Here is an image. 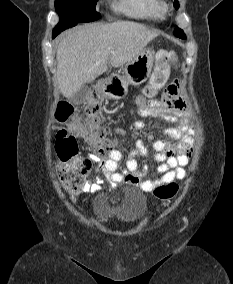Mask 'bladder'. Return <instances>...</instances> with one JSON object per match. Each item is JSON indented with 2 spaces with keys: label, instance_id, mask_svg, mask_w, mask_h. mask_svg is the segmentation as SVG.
I'll return each instance as SVG.
<instances>
[{
  "label": "bladder",
  "instance_id": "1",
  "mask_svg": "<svg viewBox=\"0 0 233 284\" xmlns=\"http://www.w3.org/2000/svg\"><path fill=\"white\" fill-rule=\"evenodd\" d=\"M91 212L101 223L110 220L133 226L138 224L148 212L146 195L134 188H127L122 197L115 201L110 193H99L91 202Z\"/></svg>",
  "mask_w": 233,
  "mask_h": 284
}]
</instances>
